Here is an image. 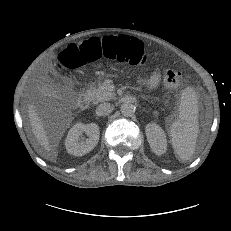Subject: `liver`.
Segmentation results:
<instances>
[{"label":"liver","mask_w":231,"mask_h":231,"mask_svg":"<svg viewBox=\"0 0 231 231\" xmlns=\"http://www.w3.org/2000/svg\"><path fill=\"white\" fill-rule=\"evenodd\" d=\"M29 121L32 127L33 134L35 135L37 142L41 146L39 153L42 157L53 159L56 157V153L53 151L47 134L45 132L44 125L38 116V113L34 105L29 106Z\"/></svg>","instance_id":"6515ba94"}]
</instances>
